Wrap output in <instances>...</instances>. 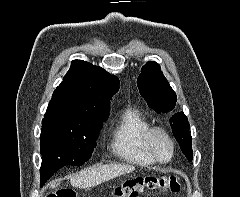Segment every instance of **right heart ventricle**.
Segmentation results:
<instances>
[{
    "label": "right heart ventricle",
    "instance_id": "e07e8e85",
    "mask_svg": "<svg viewBox=\"0 0 240 197\" xmlns=\"http://www.w3.org/2000/svg\"><path fill=\"white\" fill-rule=\"evenodd\" d=\"M150 128L151 123L139 110H123L110 131V151L130 164L153 166L155 162L144 147V136Z\"/></svg>",
    "mask_w": 240,
    "mask_h": 197
}]
</instances>
